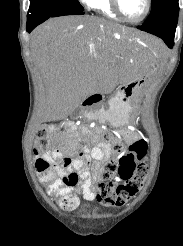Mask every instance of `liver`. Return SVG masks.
<instances>
[{"label":"liver","instance_id":"1","mask_svg":"<svg viewBox=\"0 0 183 246\" xmlns=\"http://www.w3.org/2000/svg\"><path fill=\"white\" fill-rule=\"evenodd\" d=\"M134 36L155 51L162 48L155 38L88 15L51 19L31 33V55L59 118L71 114L87 97L110 93L119 83L147 72L151 57L129 42Z\"/></svg>","mask_w":183,"mask_h":246}]
</instances>
